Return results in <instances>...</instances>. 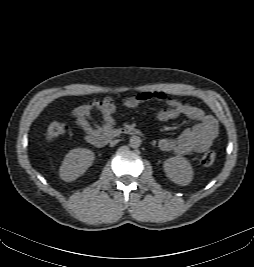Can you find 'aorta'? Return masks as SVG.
Segmentation results:
<instances>
[{
  "mask_svg": "<svg viewBox=\"0 0 254 267\" xmlns=\"http://www.w3.org/2000/svg\"><path fill=\"white\" fill-rule=\"evenodd\" d=\"M130 147H132V148H138V147H140V145H141V138L139 137V136H136V135H134V136H132L131 138H130Z\"/></svg>",
  "mask_w": 254,
  "mask_h": 267,
  "instance_id": "aorta-1",
  "label": "aorta"
}]
</instances>
